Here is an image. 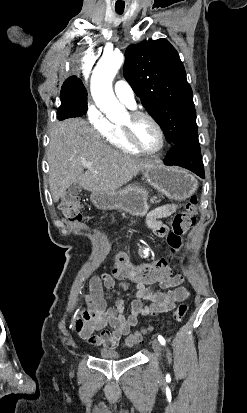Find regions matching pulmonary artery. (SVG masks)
Masks as SVG:
<instances>
[{
    "label": "pulmonary artery",
    "mask_w": 247,
    "mask_h": 413,
    "mask_svg": "<svg viewBox=\"0 0 247 413\" xmlns=\"http://www.w3.org/2000/svg\"><path fill=\"white\" fill-rule=\"evenodd\" d=\"M114 91L119 100L129 107L135 106V93L132 85L125 79H119L114 83Z\"/></svg>",
    "instance_id": "1"
}]
</instances>
